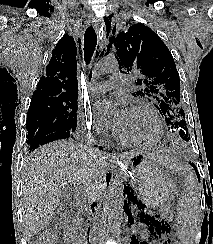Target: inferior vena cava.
Segmentation results:
<instances>
[{
    "label": "inferior vena cava",
    "instance_id": "602c4592",
    "mask_svg": "<svg viewBox=\"0 0 213 244\" xmlns=\"http://www.w3.org/2000/svg\"><path fill=\"white\" fill-rule=\"evenodd\" d=\"M87 203H88V204H90L91 202H90V201H88Z\"/></svg>",
    "mask_w": 213,
    "mask_h": 244
}]
</instances>
